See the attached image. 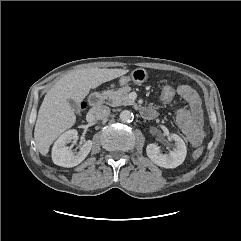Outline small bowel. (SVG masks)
<instances>
[{
	"label": "small bowel",
	"mask_w": 241,
	"mask_h": 241,
	"mask_svg": "<svg viewBox=\"0 0 241 241\" xmlns=\"http://www.w3.org/2000/svg\"><path fill=\"white\" fill-rule=\"evenodd\" d=\"M175 93L185 102V106L177 110V124L190 145L197 146L204 137L203 110L200 97L189 85L177 86ZM168 103H171V101Z\"/></svg>",
	"instance_id": "obj_1"
}]
</instances>
